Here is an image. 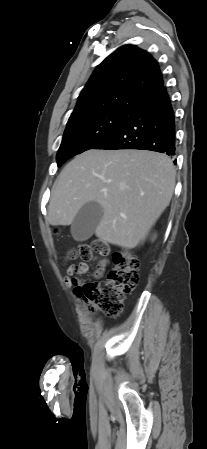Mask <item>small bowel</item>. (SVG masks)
<instances>
[{"instance_id": "1", "label": "small bowel", "mask_w": 207, "mask_h": 449, "mask_svg": "<svg viewBox=\"0 0 207 449\" xmlns=\"http://www.w3.org/2000/svg\"><path fill=\"white\" fill-rule=\"evenodd\" d=\"M88 271V264L85 262H79L71 265L67 269V275L65 277V284L68 286L77 285L79 283V275L85 274Z\"/></svg>"}]
</instances>
